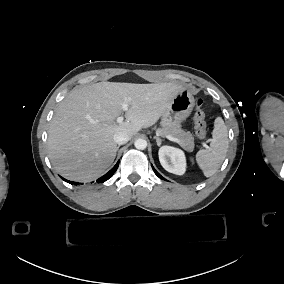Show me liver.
Listing matches in <instances>:
<instances>
[{
  "instance_id": "6515ba94",
  "label": "liver",
  "mask_w": 284,
  "mask_h": 284,
  "mask_svg": "<svg viewBox=\"0 0 284 284\" xmlns=\"http://www.w3.org/2000/svg\"><path fill=\"white\" fill-rule=\"evenodd\" d=\"M183 89L175 82L134 84L99 82L72 90L60 102L48 130V153L55 169L74 181L99 177L114 161L113 137L131 138L154 125ZM129 105L126 121L116 123Z\"/></svg>"
}]
</instances>
